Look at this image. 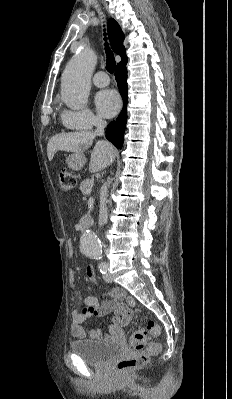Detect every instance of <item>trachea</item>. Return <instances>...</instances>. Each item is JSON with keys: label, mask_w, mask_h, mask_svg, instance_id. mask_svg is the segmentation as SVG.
I'll return each mask as SVG.
<instances>
[{"label": "trachea", "mask_w": 232, "mask_h": 399, "mask_svg": "<svg viewBox=\"0 0 232 399\" xmlns=\"http://www.w3.org/2000/svg\"><path fill=\"white\" fill-rule=\"evenodd\" d=\"M105 50H106V55H107L106 70L109 73H113L115 70L116 62H115L114 55H113L112 51L110 50V48L108 47L107 43H105Z\"/></svg>", "instance_id": "trachea-1"}]
</instances>
